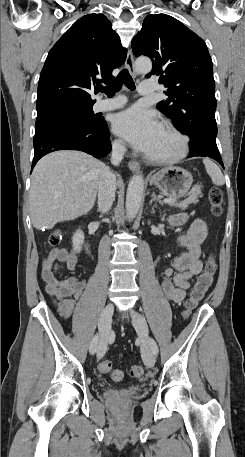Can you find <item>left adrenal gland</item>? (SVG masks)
I'll list each match as a JSON object with an SVG mask.
<instances>
[{
    "label": "left adrenal gland",
    "instance_id": "1",
    "mask_svg": "<svg viewBox=\"0 0 245 457\" xmlns=\"http://www.w3.org/2000/svg\"><path fill=\"white\" fill-rule=\"evenodd\" d=\"M151 196H152V198L150 200V204H151V202H153V200H158V202H160V204H163L162 200H160V198H158V196H156V192H152Z\"/></svg>",
    "mask_w": 245,
    "mask_h": 457
}]
</instances>
